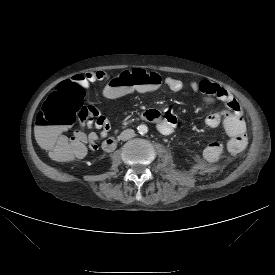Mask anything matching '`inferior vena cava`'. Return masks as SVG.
Listing matches in <instances>:
<instances>
[{"label":"inferior vena cava","instance_id":"inferior-vena-cava-1","mask_svg":"<svg viewBox=\"0 0 275 275\" xmlns=\"http://www.w3.org/2000/svg\"><path fill=\"white\" fill-rule=\"evenodd\" d=\"M135 132L133 129H126L122 131V133L119 135V139L122 141H126L132 137H134Z\"/></svg>","mask_w":275,"mask_h":275}]
</instances>
